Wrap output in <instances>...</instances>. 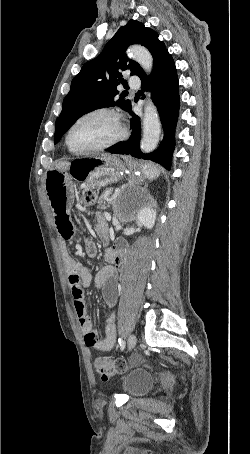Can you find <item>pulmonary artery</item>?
I'll use <instances>...</instances> for the list:
<instances>
[{
    "label": "pulmonary artery",
    "mask_w": 250,
    "mask_h": 454,
    "mask_svg": "<svg viewBox=\"0 0 250 454\" xmlns=\"http://www.w3.org/2000/svg\"><path fill=\"white\" fill-rule=\"evenodd\" d=\"M128 83L132 86H139V79L136 75H133L131 76L129 79H128Z\"/></svg>",
    "instance_id": "e3ab8cb5"
}]
</instances>
